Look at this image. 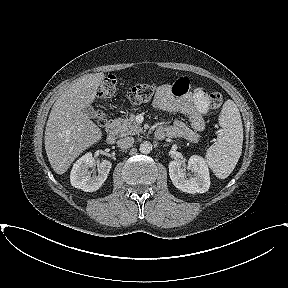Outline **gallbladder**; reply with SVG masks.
I'll return each instance as SVG.
<instances>
[{"label":"gallbladder","mask_w":288,"mask_h":288,"mask_svg":"<svg viewBox=\"0 0 288 288\" xmlns=\"http://www.w3.org/2000/svg\"><path fill=\"white\" fill-rule=\"evenodd\" d=\"M83 112L92 119H95L97 117V112L94 110L92 106H87L83 109Z\"/></svg>","instance_id":"obj_1"}]
</instances>
